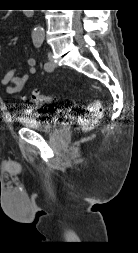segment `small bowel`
I'll use <instances>...</instances> for the list:
<instances>
[{
	"label": "small bowel",
	"instance_id": "obj_1",
	"mask_svg": "<svg viewBox=\"0 0 138 253\" xmlns=\"http://www.w3.org/2000/svg\"><path fill=\"white\" fill-rule=\"evenodd\" d=\"M28 72L18 76V67L9 70L1 79L2 85L5 86V91L13 99H17L25 89L31 75L36 72V60L33 57L27 59Z\"/></svg>",
	"mask_w": 138,
	"mask_h": 253
}]
</instances>
